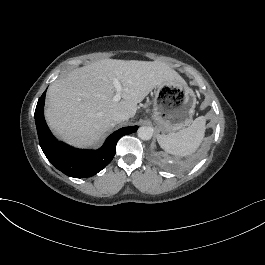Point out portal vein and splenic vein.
<instances>
[{
	"label": "portal vein and splenic vein",
	"instance_id": "1",
	"mask_svg": "<svg viewBox=\"0 0 265 265\" xmlns=\"http://www.w3.org/2000/svg\"><path fill=\"white\" fill-rule=\"evenodd\" d=\"M113 86L116 89V94L113 97L114 102H119L121 100L122 86L120 81L117 78L113 79Z\"/></svg>",
	"mask_w": 265,
	"mask_h": 265
}]
</instances>
